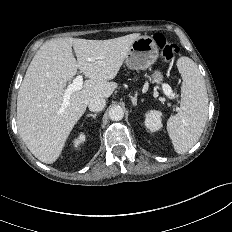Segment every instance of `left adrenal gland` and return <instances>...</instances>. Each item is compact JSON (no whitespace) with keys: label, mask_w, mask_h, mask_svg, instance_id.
<instances>
[{"label":"left adrenal gland","mask_w":232,"mask_h":232,"mask_svg":"<svg viewBox=\"0 0 232 232\" xmlns=\"http://www.w3.org/2000/svg\"><path fill=\"white\" fill-rule=\"evenodd\" d=\"M130 98H131V101H132V105L136 106L137 105V97L136 96L135 97L130 96Z\"/></svg>","instance_id":"a2214340"}]
</instances>
